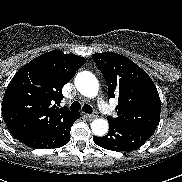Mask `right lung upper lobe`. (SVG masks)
I'll use <instances>...</instances> for the list:
<instances>
[{"label": "right lung upper lobe", "mask_w": 182, "mask_h": 182, "mask_svg": "<svg viewBox=\"0 0 182 182\" xmlns=\"http://www.w3.org/2000/svg\"><path fill=\"white\" fill-rule=\"evenodd\" d=\"M86 59L62 51L47 52L23 66L10 81L2 102V115L17 139L51 128L74 117L65 107L62 88Z\"/></svg>", "instance_id": "cb5924a9"}]
</instances>
